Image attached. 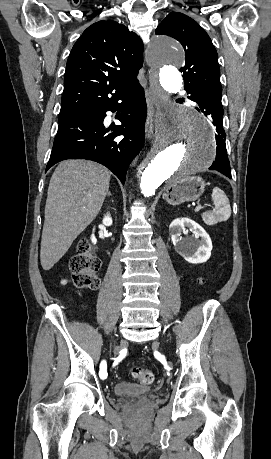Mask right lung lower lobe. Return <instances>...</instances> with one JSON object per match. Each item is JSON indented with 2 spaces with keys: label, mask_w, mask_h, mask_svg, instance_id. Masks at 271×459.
<instances>
[{
  "label": "right lung lower lobe",
  "mask_w": 271,
  "mask_h": 459,
  "mask_svg": "<svg viewBox=\"0 0 271 459\" xmlns=\"http://www.w3.org/2000/svg\"><path fill=\"white\" fill-rule=\"evenodd\" d=\"M122 100V103H118ZM122 109L120 126L106 135L103 121L106 111ZM147 106L139 82L126 92L100 103L95 114L82 115L59 122L46 171L66 159H88L110 169L124 184L131 161L144 144V124ZM114 130V128H111ZM124 135L123 139H115Z\"/></svg>",
  "instance_id": "right-lung-lower-lobe-1"
}]
</instances>
